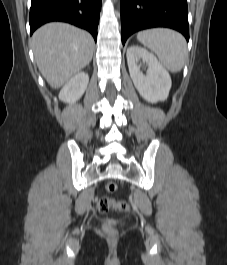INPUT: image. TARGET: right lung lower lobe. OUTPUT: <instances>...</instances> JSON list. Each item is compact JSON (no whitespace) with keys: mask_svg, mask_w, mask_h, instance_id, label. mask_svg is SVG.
Segmentation results:
<instances>
[{"mask_svg":"<svg viewBox=\"0 0 227 265\" xmlns=\"http://www.w3.org/2000/svg\"><path fill=\"white\" fill-rule=\"evenodd\" d=\"M101 0H31L30 34L50 21H64L88 30L97 39Z\"/></svg>","mask_w":227,"mask_h":265,"instance_id":"1","label":"right lung lower lobe"}]
</instances>
